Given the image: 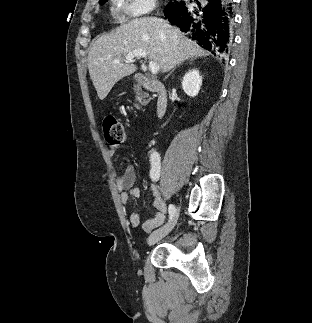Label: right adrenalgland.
<instances>
[{"instance_id": "right-adrenal-gland-1", "label": "right adrenal gland", "mask_w": 312, "mask_h": 323, "mask_svg": "<svg viewBox=\"0 0 312 323\" xmlns=\"http://www.w3.org/2000/svg\"><path fill=\"white\" fill-rule=\"evenodd\" d=\"M192 62H193V60H188V64H192ZM178 66H182V64H178ZM172 72H173V70H172ZM170 74H171V72H170Z\"/></svg>"}]
</instances>
